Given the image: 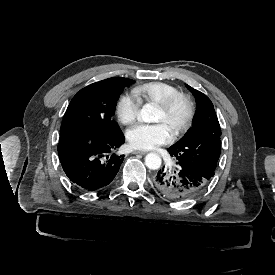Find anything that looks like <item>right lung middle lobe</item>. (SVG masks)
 I'll use <instances>...</instances> for the list:
<instances>
[{
  "instance_id": "1",
  "label": "right lung middle lobe",
  "mask_w": 275,
  "mask_h": 275,
  "mask_svg": "<svg viewBox=\"0 0 275 275\" xmlns=\"http://www.w3.org/2000/svg\"><path fill=\"white\" fill-rule=\"evenodd\" d=\"M133 80H103L81 89L71 100L63 118L61 133L81 130L109 137L120 131L113 121L122 88Z\"/></svg>"
}]
</instances>
